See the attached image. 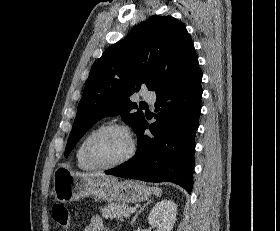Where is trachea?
Masks as SVG:
<instances>
[{
  "mask_svg": "<svg viewBox=\"0 0 280 231\" xmlns=\"http://www.w3.org/2000/svg\"><path fill=\"white\" fill-rule=\"evenodd\" d=\"M139 106H140V108H142V109L148 110V105H147V103H141Z\"/></svg>",
  "mask_w": 280,
  "mask_h": 231,
  "instance_id": "1",
  "label": "trachea"
}]
</instances>
